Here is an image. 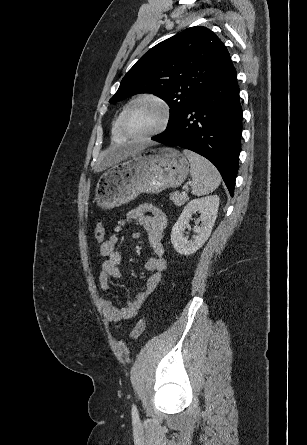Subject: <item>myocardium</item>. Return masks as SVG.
Masks as SVG:
<instances>
[{"label": "myocardium", "instance_id": "obj_1", "mask_svg": "<svg viewBox=\"0 0 307 445\" xmlns=\"http://www.w3.org/2000/svg\"><path fill=\"white\" fill-rule=\"evenodd\" d=\"M142 101H152V102L158 104L162 108L163 119H162L160 125L157 128H155L154 130L143 132V133H136V132L132 131V129L129 125L128 113H129V109L131 108L132 105H134L138 102H142ZM172 117H173L172 108L166 100H164L163 98H161L155 94H142V95H139L138 97L134 98L132 101H130L127 104V106L125 107L123 117H122V126H123L124 133L126 134V136H128L130 138L155 137V136L162 134L163 132H165L167 130V128L169 127V125L172 121Z\"/></svg>", "mask_w": 307, "mask_h": 445}]
</instances>
